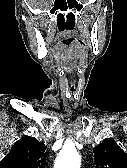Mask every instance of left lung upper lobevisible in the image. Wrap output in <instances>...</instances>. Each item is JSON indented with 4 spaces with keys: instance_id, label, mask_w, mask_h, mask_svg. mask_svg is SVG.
Segmentation results:
<instances>
[{
    "instance_id": "1",
    "label": "left lung upper lobe",
    "mask_w": 127,
    "mask_h": 168,
    "mask_svg": "<svg viewBox=\"0 0 127 168\" xmlns=\"http://www.w3.org/2000/svg\"><path fill=\"white\" fill-rule=\"evenodd\" d=\"M97 168H127V155L112 139H105L93 149Z\"/></svg>"
}]
</instances>
